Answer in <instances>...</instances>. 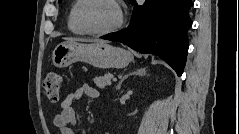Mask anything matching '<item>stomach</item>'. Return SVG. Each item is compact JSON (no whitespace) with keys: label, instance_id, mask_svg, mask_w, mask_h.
I'll list each match as a JSON object with an SVG mask.
<instances>
[{"label":"stomach","instance_id":"obj_1","mask_svg":"<svg viewBox=\"0 0 239 134\" xmlns=\"http://www.w3.org/2000/svg\"><path fill=\"white\" fill-rule=\"evenodd\" d=\"M133 59L132 54L120 47L105 42H63L52 52V63L57 68L67 67L82 61L96 68H125Z\"/></svg>","mask_w":239,"mask_h":134}]
</instances>
